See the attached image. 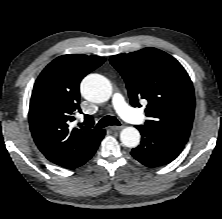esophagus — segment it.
Instances as JSON below:
<instances>
[{
    "label": "esophagus",
    "instance_id": "obj_1",
    "mask_svg": "<svg viewBox=\"0 0 222 219\" xmlns=\"http://www.w3.org/2000/svg\"><path fill=\"white\" fill-rule=\"evenodd\" d=\"M124 126H111L110 129L113 131L121 130Z\"/></svg>",
    "mask_w": 222,
    "mask_h": 219
}]
</instances>
